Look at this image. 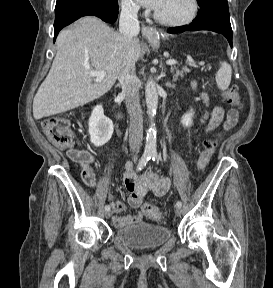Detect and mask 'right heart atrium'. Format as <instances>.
<instances>
[{"mask_svg":"<svg viewBox=\"0 0 273 288\" xmlns=\"http://www.w3.org/2000/svg\"><path fill=\"white\" fill-rule=\"evenodd\" d=\"M122 12L132 18H136L140 14V7L135 0H120Z\"/></svg>","mask_w":273,"mask_h":288,"instance_id":"obj_1","label":"right heart atrium"}]
</instances>
